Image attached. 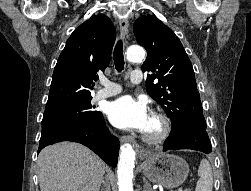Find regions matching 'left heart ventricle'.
<instances>
[{"mask_svg":"<svg viewBox=\"0 0 251 191\" xmlns=\"http://www.w3.org/2000/svg\"><path fill=\"white\" fill-rule=\"evenodd\" d=\"M154 129H155V123L153 121L149 120V123L146 127V130L153 131Z\"/></svg>","mask_w":251,"mask_h":191,"instance_id":"1","label":"left heart ventricle"}]
</instances>
